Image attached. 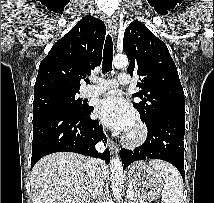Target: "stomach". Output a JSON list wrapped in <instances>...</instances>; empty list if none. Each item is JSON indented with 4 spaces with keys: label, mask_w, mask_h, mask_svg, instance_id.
Returning a JSON list of instances; mask_svg holds the SVG:
<instances>
[{
    "label": "stomach",
    "mask_w": 214,
    "mask_h": 203,
    "mask_svg": "<svg viewBox=\"0 0 214 203\" xmlns=\"http://www.w3.org/2000/svg\"><path fill=\"white\" fill-rule=\"evenodd\" d=\"M127 178L134 189L137 203H147V201L155 200L164 192V177L145 162H136L130 166Z\"/></svg>",
    "instance_id": "1"
}]
</instances>
